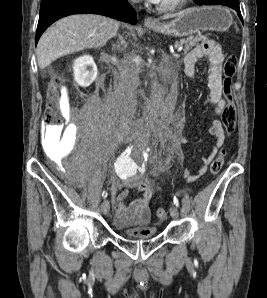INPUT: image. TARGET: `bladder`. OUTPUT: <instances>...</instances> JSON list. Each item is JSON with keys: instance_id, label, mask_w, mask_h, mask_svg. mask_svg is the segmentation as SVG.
Here are the masks:
<instances>
[{"instance_id": "31cf9c89", "label": "bladder", "mask_w": 267, "mask_h": 298, "mask_svg": "<svg viewBox=\"0 0 267 298\" xmlns=\"http://www.w3.org/2000/svg\"><path fill=\"white\" fill-rule=\"evenodd\" d=\"M121 234L123 237L128 239L144 240L154 237L156 235V230L153 229L152 233L149 235H139L131 229H122Z\"/></svg>"}]
</instances>
